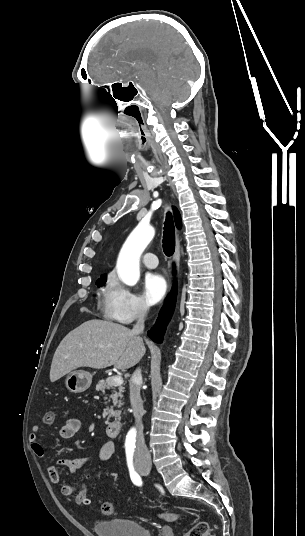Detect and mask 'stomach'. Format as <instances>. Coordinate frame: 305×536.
Wrapping results in <instances>:
<instances>
[{
	"label": "stomach",
	"mask_w": 305,
	"mask_h": 536,
	"mask_svg": "<svg viewBox=\"0 0 305 536\" xmlns=\"http://www.w3.org/2000/svg\"><path fill=\"white\" fill-rule=\"evenodd\" d=\"M67 390L74 392V394H80L88 390L92 384V374L84 372V370H77V372H71L68 374L65 380Z\"/></svg>",
	"instance_id": "stomach-1"
}]
</instances>
